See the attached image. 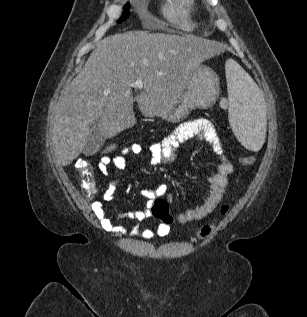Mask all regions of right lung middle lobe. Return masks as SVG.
Masks as SVG:
<instances>
[{
  "label": "right lung middle lobe",
  "instance_id": "right-lung-middle-lobe-1",
  "mask_svg": "<svg viewBox=\"0 0 307 317\" xmlns=\"http://www.w3.org/2000/svg\"><path fill=\"white\" fill-rule=\"evenodd\" d=\"M129 8H130V5L129 4H127L125 7H124V10H125V12L123 13V16L120 18V20H119V22H122V21H124V20H126L127 18H128V16H129Z\"/></svg>",
  "mask_w": 307,
  "mask_h": 317
}]
</instances>
